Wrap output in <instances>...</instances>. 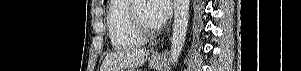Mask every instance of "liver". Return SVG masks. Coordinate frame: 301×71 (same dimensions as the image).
I'll list each match as a JSON object with an SVG mask.
<instances>
[{
  "label": "liver",
  "mask_w": 301,
  "mask_h": 71,
  "mask_svg": "<svg viewBox=\"0 0 301 71\" xmlns=\"http://www.w3.org/2000/svg\"><path fill=\"white\" fill-rule=\"evenodd\" d=\"M147 50L132 49L109 54L103 61L101 71H124L142 66L148 59Z\"/></svg>",
  "instance_id": "obj_1"
}]
</instances>
